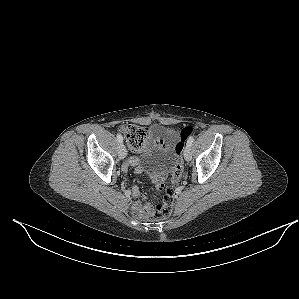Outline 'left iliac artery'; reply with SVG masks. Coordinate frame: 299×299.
<instances>
[{
	"label": "left iliac artery",
	"mask_w": 299,
	"mask_h": 299,
	"mask_svg": "<svg viewBox=\"0 0 299 299\" xmlns=\"http://www.w3.org/2000/svg\"><path fill=\"white\" fill-rule=\"evenodd\" d=\"M193 141H194V138H193V136H191V137L188 139V141H187V145H188V146H191L192 143H193Z\"/></svg>",
	"instance_id": "left-iliac-artery-1"
}]
</instances>
